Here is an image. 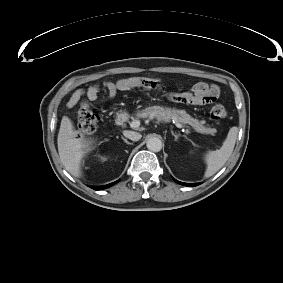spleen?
Wrapping results in <instances>:
<instances>
[{"mask_svg": "<svg viewBox=\"0 0 283 283\" xmlns=\"http://www.w3.org/2000/svg\"><path fill=\"white\" fill-rule=\"evenodd\" d=\"M238 128L232 127L229 130L227 138L225 139L222 147L215 151H209L206 154L205 162L207 164V169L205 172L206 177H210L215 174L221 167L226 163V161L231 156L235 142L237 139Z\"/></svg>", "mask_w": 283, "mask_h": 283, "instance_id": "1", "label": "spleen"}]
</instances>
